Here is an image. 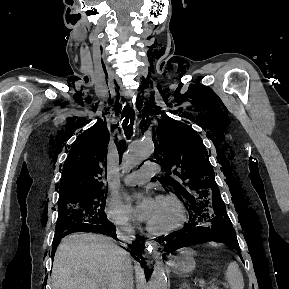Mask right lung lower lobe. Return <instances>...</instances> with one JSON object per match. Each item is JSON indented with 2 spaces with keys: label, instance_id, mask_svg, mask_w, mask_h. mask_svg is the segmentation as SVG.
I'll list each match as a JSON object with an SVG mask.
<instances>
[{
  "label": "right lung lower lobe",
  "instance_id": "obj_1",
  "mask_svg": "<svg viewBox=\"0 0 289 289\" xmlns=\"http://www.w3.org/2000/svg\"><path fill=\"white\" fill-rule=\"evenodd\" d=\"M73 232H96V233H101V234H105L108 236H111L114 239H117V235H116V228L114 226V224H112L107 217L100 219V220H92V221H88V222H84V223H80L78 226H76L75 228H73L72 230H70V233ZM68 235V234H67ZM64 236H56L54 238V242H53V251H52V257H54L55 254V249L59 243V241L61 240V238ZM139 237H137V241L135 243H133L132 249H133V253H135L139 258L134 257L141 263L143 264V261H140V259H142V252L144 250L145 245L140 243ZM130 247V245H129Z\"/></svg>",
  "mask_w": 289,
  "mask_h": 289
}]
</instances>
